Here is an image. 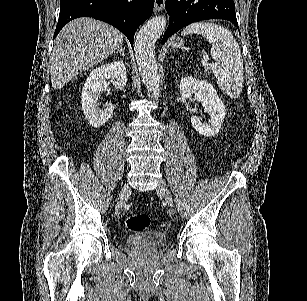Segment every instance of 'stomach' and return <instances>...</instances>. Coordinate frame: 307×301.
Listing matches in <instances>:
<instances>
[{
	"mask_svg": "<svg viewBox=\"0 0 307 301\" xmlns=\"http://www.w3.org/2000/svg\"><path fill=\"white\" fill-rule=\"evenodd\" d=\"M173 46H182L181 40H175V42H172Z\"/></svg>",
	"mask_w": 307,
	"mask_h": 301,
	"instance_id": "stomach-1",
	"label": "stomach"
}]
</instances>
